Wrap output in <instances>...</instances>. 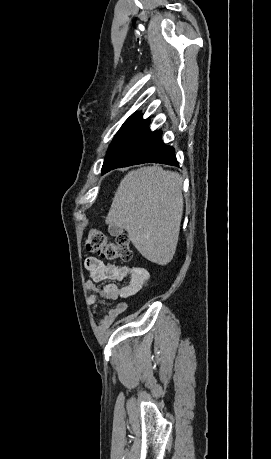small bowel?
I'll use <instances>...</instances> for the list:
<instances>
[{
	"instance_id": "c3829d8e",
	"label": "small bowel",
	"mask_w": 271,
	"mask_h": 459,
	"mask_svg": "<svg viewBox=\"0 0 271 459\" xmlns=\"http://www.w3.org/2000/svg\"><path fill=\"white\" fill-rule=\"evenodd\" d=\"M85 268L89 273L86 289L90 292V304H94L99 298L107 300L127 298L139 292L149 281V273L144 268L105 264L95 257L86 259ZM106 280L111 282L100 289L98 285ZM125 280H127V284L124 286H119L114 282ZM126 310L125 302H119L115 307L107 308L98 325V330L105 331L108 329Z\"/></svg>"
}]
</instances>
